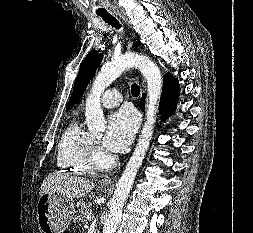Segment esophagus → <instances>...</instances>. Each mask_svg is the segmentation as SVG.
Listing matches in <instances>:
<instances>
[{
  "mask_svg": "<svg viewBox=\"0 0 253 233\" xmlns=\"http://www.w3.org/2000/svg\"><path fill=\"white\" fill-rule=\"evenodd\" d=\"M116 14L119 15L125 21V23L128 25V27H130L129 21H127V19L120 12H117ZM99 185L104 186V187L112 186L113 185V178L103 179L102 181L99 182Z\"/></svg>",
  "mask_w": 253,
  "mask_h": 233,
  "instance_id": "34e87169",
  "label": "esophagus"
}]
</instances>
